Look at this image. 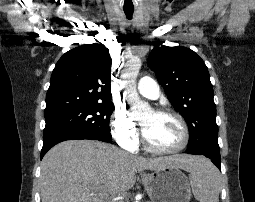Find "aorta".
<instances>
[{"label": "aorta", "mask_w": 255, "mask_h": 202, "mask_svg": "<svg viewBox=\"0 0 255 202\" xmlns=\"http://www.w3.org/2000/svg\"><path fill=\"white\" fill-rule=\"evenodd\" d=\"M141 67V60L132 57L126 61L121 71V85L128 103L131 106V116L139 119L151 111L148 103L142 101L136 89V77Z\"/></svg>", "instance_id": "aorta-1"}]
</instances>
